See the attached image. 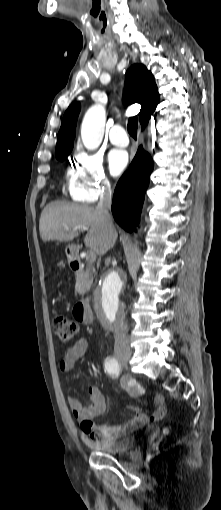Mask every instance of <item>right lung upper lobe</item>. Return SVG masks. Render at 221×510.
Here are the masks:
<instances>
[{
    "label": "right lung upper lobe",
    "mask_w": 221,
    "mask_h": 510,
    "mask_svg": "<svg viewBox=\"0 0 221 510\" xmlns=\"http://www.w3.org/2000/svg\"><path fill=\"white\" fill-rule=\"evenodd\" d=\"M124 101L126 104L139 103L140 122L146 124L159 104L158 89L154 77L142 64L132 65L125 81ZM80 111V104L73 103L66 110L60 131L58 133L55 154L58 155L73 147L77 117Z\"/></svg>",
    "instance_id": "right-lung-upper-lobe-1"
}]
</instances>
